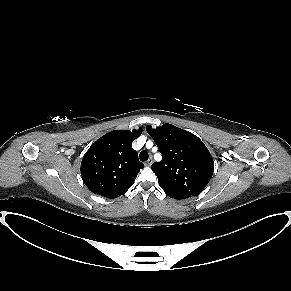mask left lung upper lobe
<instances>
[{"label": "left lung upper lobe", "mask_w": 291, "mask_h": 291, "mask_svg": "<svg viewBox=\"0 0 291 291\" xmlns=\"http://www.w3.org/2000/svg\"><path fill=\"white\" fill-rule=\"evenodd\" d=\"M147 132L160 149L162 160L152 164L160 187L178 198L197 196L210 181L213 158L205 144L194 134L171 124Z\"/></svg>", "instance_id": "obj_1"}]
</instances>
